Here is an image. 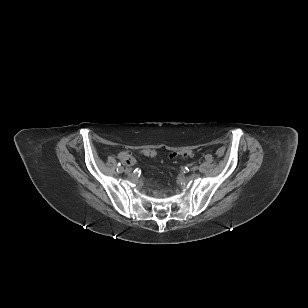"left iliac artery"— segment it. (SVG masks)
<instances>
[{
  "instance_id": "44dca946",
  "label": "left iliac artery",
  "mask_w": 308,
  "mask_h": 308,
  "mask_svg": "<svg viewBox=\"0 0 308 308\" xmlns=\"http://www.w3.org/2000/svg\"><path fill=\"white\" fill-rule=\"evenodd\" d=\"M212 157L211 156H205V161H211Z\"/></svg>"
}]
</instances>
